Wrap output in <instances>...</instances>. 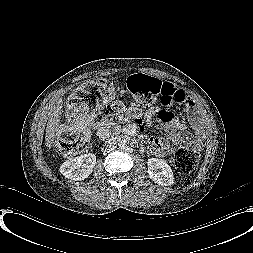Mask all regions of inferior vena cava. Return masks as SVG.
Wrapping results in <instances>:
<instances>
[{"label": "inferior vena cava", "instance_id": "inferior-vena-cava-1", "mask_svg": "<svg viewBox=\"0 0 253 253\" xmlns=\"http://www.w3.org/2000/svg\"><path fill=\"white\" fill-rule=\"evenodd\" d=\"M110 150H113L112 148L111 149H107V150H105V152H109Z\"/></svg>", "mask_w": 253, "mask_h": 253}]
</instances>
